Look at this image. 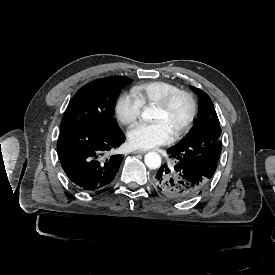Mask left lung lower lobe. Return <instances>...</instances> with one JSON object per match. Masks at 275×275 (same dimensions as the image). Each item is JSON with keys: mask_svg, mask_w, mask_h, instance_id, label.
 Returning a JSON list of instances; mask_svg holds the SVG:
<instances>
[{"mask_svg": "<svg viewBox=\"0 0 275 275\" xmlns=\"http://www.w3.org/2000/svg\"><path fill=\"white\" fill-rule=\"evenodd\" d=\"M210 181L211 178L177 160L173 167L162 165L153 179L155 188L168 199L175 201L200 195Z\"/></svg>", "mask_w": 275, "mask_h": 275, "instance_id": "obj_1", "label": "left lung lower lobe"}]
</instances>
